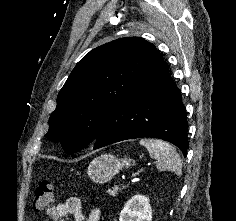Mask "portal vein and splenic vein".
<instances>
[{"mask_svg":"<svg viewBox=\"0 0 236 221\" xmlns=\"http://www.w3.org/2000/svg\"><path fill=\"white\" fill-rule=\"evenodd\" d=\"M136 176H137V173H134V174L132 175V180H134V178H136Z\"/></svg>","mask_w":236,"mask_h":221,"instance_id":"18ae733b","label":"portal vein and splenic vein"}]
</instances>
